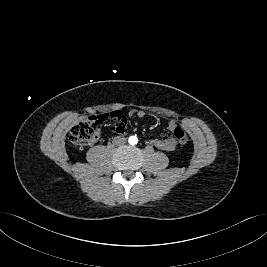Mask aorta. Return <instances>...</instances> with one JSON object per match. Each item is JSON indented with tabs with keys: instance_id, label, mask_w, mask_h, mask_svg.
Wrapping results in <instances>:
<instances>
[{
	"instance_id": "aorta-1",
	"label": "aorta",
	"mask_w": 267,
	"mask_h": 267,
	"mask_svg": "<svg viewBox=\"0 0 267 267\" xmlns=\"http://www.w3.org/2000/svg\"><path fill=\"white\" fill-rule=\"evenodd\" d=\"M128 141H129V143H130L131 145H135V144H137L138 139H137L136 136H130Z\"/></svg>"
}]
</instances>
